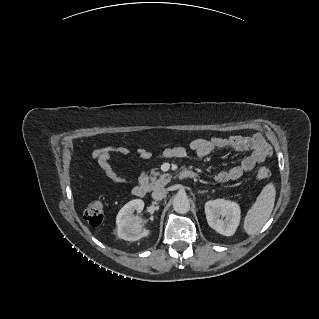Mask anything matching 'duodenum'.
Returning a JSON list of instances; mask_svg holds the SVG:
<instances>
[{"label":"duodenum","mask_w":319,"mask_h":319,"mask_svg":"<svg viewBox=\"0 0 319 319\" xmlns=\"http://www.w3.org/2000/svg\"><path fill=\"white\" fill-rule=\"evenodd\" d=\"M180 179H193L197 177V173L192 170H183L179 173ZM132 193L137 198H144L147 194V189L143 184H137L133 187Z\"/></svg>","instance_id":"duodenum-1"}]
</instances>
